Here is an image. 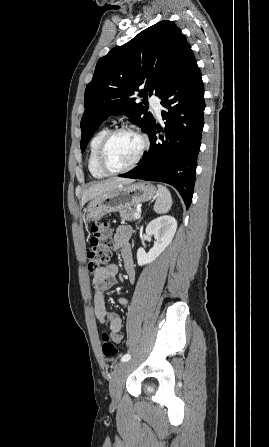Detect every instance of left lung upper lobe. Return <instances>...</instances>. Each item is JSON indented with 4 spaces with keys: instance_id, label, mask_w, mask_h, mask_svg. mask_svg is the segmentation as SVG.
<instances>
[{
    "instance_id": "obj_1",
    "label": "left lung upper lobe",
    "mask_w": 269,
    "mask_h": 447,
    "mask_svg": "<svg viewBox=\"0 0 269 447\" xmlns=\"http://www.w3.org/2000/svg\"><path fill=\"white\" fill-rule=\"evenodd\" d=\"M189 48L181 30L164 20L100 58L85 90L81 151L102 121L113 114H125L147 132L154 118L143 103L147 104L148 93L161 97ZM137 92L144 97L143 103L135 102Z\"/></svg>"
}]
</instances>
